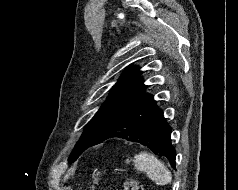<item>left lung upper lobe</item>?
Here are the masks:
<instances>
[{
	"instance_id": "obj_1",
	"label": "left lung upper lobe",
	"mask_w": 238,
	"mask_h": 190,
	"mask_svg": "<svg viewBox=\"0 0 238 190\" xmlns=\"http://www.w3.org/2000/svg\"><path fill=\"white\" fill-rule=\"evenodd\" d=\"M139 68L129 67L112 87L107 100L95 116L86 125L84 132L76 143L68 161H75L88 147L99 144L109 134L124 111L130 108L144 93L147 85L138 78Z\"/></svg>"
}]
</instances>
